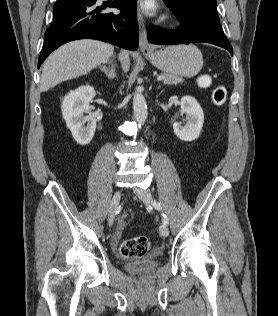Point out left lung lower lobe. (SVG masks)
<instances>
[{
	"instance_id": "0a47b994",
	"label": "left lung lower lobe",
	"mask_w": 278,
	"mask_h": 316,
	"mask_svg": "<svg viewBox=\"0 0 278 316\" xmlns=\"http://www.w3.org/2000/svg\"><path fill=\"white\" fill-rule=\"evenodd\" d=\"M147 36L148 40L153 44L210 43L227 49L233 55V48L227 37L204 29L187 27L184 24L181 29L176 31L148 27Z\"/></svg>"
}]
</instances>
